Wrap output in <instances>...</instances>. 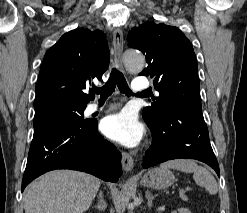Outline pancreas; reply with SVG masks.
Segmentation results:
<instances>
[{"label":"pancreas","mask_w":247,"mask_h":213,"mask_svg":"<svg viewBox=\"0 0 247 213\" xmlns=\"http://www.w3.org/2000/svg\"><path fill=\"white\" fill-rule=\"evenodd\" d=\"M180 198L182 199V200H184V201H187L188 199H187V197L186 196H180Z\"/></svg>","instance_id":"pancreas-1"}]
</instances>
